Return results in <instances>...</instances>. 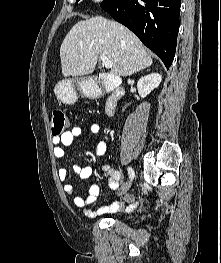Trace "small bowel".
I'll list each match as a JSON object with an SVG mask.
<instances>
[{
  "mask_svg": "<svg viewBox=\"0 0 221 263\" xmlns=\"http://www.w3.org/2000/svg\"><path fill=\"white\" fill-rule=\"evenodd\" d=\"M102 125L99 123H94L90 126V132L97 135L101 132ZM82 129L80 127H73L71 130L66 131L59 137L53 138V155L57 159H61L65 156V147L70 146L74 139L81 136ZM107 145L103 140L97 141L94 146V153L96 156H103L106 153ZM73 172L82 179L90 177L92 174V168L90 166L74 165ZM104 176L108 178L109 187L111 190L116 191L119 188V181L122 178V174L118 170H114L109 166H104ZM58 177L61 181L65 182L68 178V171L66 168H60L58 170ZM64 192L68 195L74 194L75 187L71 183H65L63 186ZM100 186L98 184H92L89 187L88 195L86 197L76 196L74 197V204L78 208L84 210V212L89 216H95L96 214L101 215L105 213L116 212L122 209L124 206L120 202H113L107 207H103L97 211V213L90 212L87 207L98 199L100 196ZM125 202L127 203V209L133 210L137 207L138 202L130 194L125 195Z\"/></svg>",
  "mask_w": 221,
  "mask_h": 263,
  "instance_id": "c3829d8e",
  "label": "small bowel"
}]
</instances>
